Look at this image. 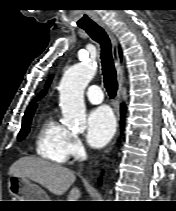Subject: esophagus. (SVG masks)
Listing matches in <instances>:
<instances>
[{"instance_id": "34e87169", "label": "esophagus", "mask_w": 176, "mask_h": 211, "mask_svg": "<svg viewBox=\"0 0 176 211\" xmlns=\"http://www.w3.org/2000/svg\"><path fill=\"white\" fill-rule=\"evenodd\" d=\"M99 25L107 33V35L110 39V42H111L112 56H113L115 68L117 71L118 83H119V90H118L117 96H118V99H120L121 94H122L123 85H124V66H123V62L119 55L118 41H117V38L115 37L113 31L111 30V28L108 25H106L104 22H99ZM114 143H115V140L112 142L110 147L105 151V154H107L112 149Z\"/></svg>"}]
</instances>
